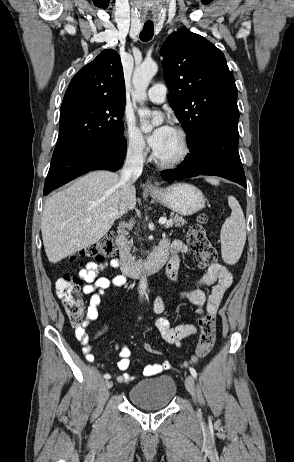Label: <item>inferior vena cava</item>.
I'll use <instances>...</instances> for the list:
<instances>
[{
    "label": "inferior vena cava",
    "instance_id": "inferior-vena-cava-1",
    "mask_svg": "<svg viewBox=\"0 0 294 462\" xmlns=\"http://www.w3.org/2000/svg\"><path fill=\"white\" fill-rule=\"evenodd\" d=\"M143 145L141 143H131L128 146L126 160L121 170V199L119 204V217L128 212V203L131 197L133 183L141 175L143 170Z\"/></svg>",
    "mask_w": 294,
    "mask_h": 462
}]
</instances>
